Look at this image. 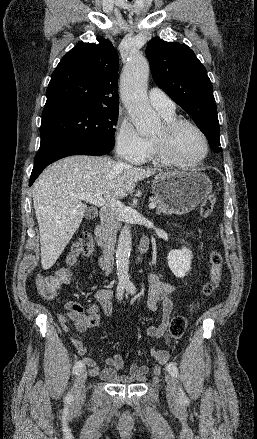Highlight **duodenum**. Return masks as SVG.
Masks as SVG:
<instances>
[{"mask_svg":"<svg viewBox=\"0 0 257 439\" xmlns=\"http://www.w3.org/2000/svg\"><path fill=\"white\" fill-rule=\"evenodd\" d=\"M95 234H96V240H97L98 246L100 248H103L104 247V238H103V226L102 225H99L96 228ZM147 248H148V243L146 241H141V243L139 245L138 255L136 258L137 263L141 262L142 256L146 252ZM99 263H100V266L102 268H104V269L108 268L109 260H108V257L106 254H104L100 257Z\"/></svg>","mask_w":257,"mask_h":439,"instance_id":"410a0bca","label":"duodenum"}]
</instances>
